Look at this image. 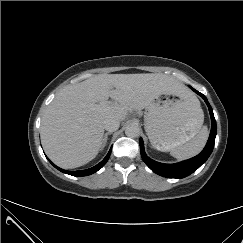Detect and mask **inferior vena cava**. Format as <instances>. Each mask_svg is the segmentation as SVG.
Segmentation results:
<instances>
[{"mask_svg":"<svg viewBox=\"0 0 243 243\" xmlns=\"http://www.w3.org/2000/svg\"><path fill=\"white\" fill-rule=\"evenodd\" d=\"M120 126V121L115 118H108L104 121V129L109 132L116 131Z\"/></svg>","mask_w":243,"mask_h":243,"instance_id":"602c4592","label":"inferior vena cava"}]
</instances>
